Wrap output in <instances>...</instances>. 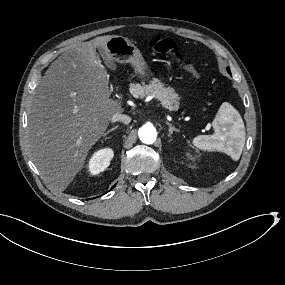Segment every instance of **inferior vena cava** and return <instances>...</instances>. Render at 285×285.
I'll use <instances>...</instances> for the list:
<instances>
[{
    "instance_id": "obj_1",
    "label": "inferior vena cava",
    "mask_w": 285,
    "mask_h": 285,
    "mask_svg": "<svg viewBox=\"0 0 285 285\" xmlns=\"http://www.w3.org/2000/svg\"><path fill=\"white\" fill-rule=\"evenodd\" d=\"M130 120H131L130 117H128L126 115H122L120 113H115L111 119L112 122L120 121V122H123L125 124H128L130 122Z\"/></svg>"
}]
</instances>
